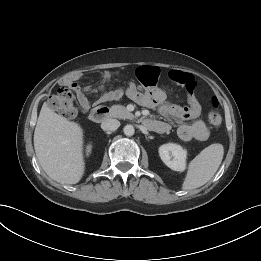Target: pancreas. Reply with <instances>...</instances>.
Instances as JSON below:
<instances>
[{
	"label": "pancreas",
	"instance_id": "obj_1",
	"mask_svg": "<svg viewBox=\"0 0 261 261\" xmlns=\"http://www.w3.org/2000/svg\"><path fill=\"white\" fill-rule=\"evenodd\" d=\"M110 115L116 118L121 119H133L134 115L130 113L124 106L122 105H113L110 110Z\"/></svg>",
	"mask_w": 261,
	"mask_h": 261
}]
</instances>
